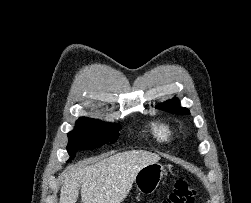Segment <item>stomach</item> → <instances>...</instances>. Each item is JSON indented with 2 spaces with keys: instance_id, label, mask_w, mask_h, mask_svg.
<instances>
[{
  "instance_id": "obj_1",
  "label": "stomach",
  "mask_w": 251,
  "mask_h": 203,
  "mask_svg": "<svg viewBox=\"0 0 251 203\" xmlns=\"http://www.w3.org/2000/svg\"><path fill=\"white\" fill-rule=\"evenodd\" d=\"M164 167L160 163L149 164L141 168L135 177V186L142 194H152L159 186L163 174Z\"/></svg>"
}]
</instances>
